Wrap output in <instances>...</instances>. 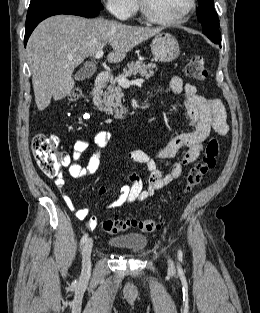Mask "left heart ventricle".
I'll use <instances>...</instances> for the list:
<instances>
[{"label":"left heart ventricle","mask_w":260,"mask_h":313,"mask_svg":"<svg viewBox=\"0 0 260 313\" xmlns=\"http://www.w3.org/2000/svg\"><path fill=\"white\" fill-rule=\"evenodd\" d=\"M151 11L162 18L176 17L186 10L189 0H145Z\"/></svg>","instance_id":"left-heart-ventricle-1"}]
</instances>
